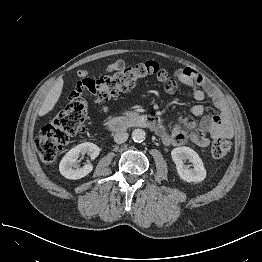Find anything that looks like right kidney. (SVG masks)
I'll use <instances>...</instances> for the list:
<instances>
[{
	"label": "right kidney",
	"mask_w": 262,
	"mask_h": 262,
	"mask_svg": "<svg viewBox=\"0 0 262 262\" xmlns=\"http://www.w3.org/2000/svg\"><path fill=\"white\" fill-rule=\"evenodd\" d=\"M86 153L91 157V159H95L99 155L100 149L97 145L90 142L77 145L69 150L62 158L59 164L60 173L65 178L73 180L80 179L88 175L93 170L92 165L86 164L81 167L76 163L79 156Z\"/></svg>",
	"instance_id": "1"
}]
</instances>
